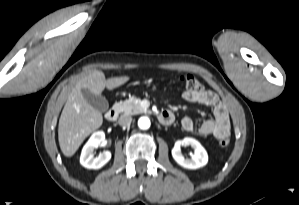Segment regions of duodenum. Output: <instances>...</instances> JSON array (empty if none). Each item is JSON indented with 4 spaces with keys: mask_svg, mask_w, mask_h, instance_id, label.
Masks as SVG:
<instances>
[{
    "mask_svg": "<svg viewBox=\"0 0 299 205\" xmlns=\"http://www.w3.org/2000/svg\"><path fill=\"white\" fill-rule=\"evenodd\" d=\"M118 115H119V110L116 107H112L106 112L105 117L108 121L113 122L118 118ZM173 120H174V116L169 111H163L159 115V121L162 124L165 125L171 124Z\"/></svg>",
    "mask_w": 299,
    "mask_h": 205,
    "instance_id": "410a0bca",
    "label": "duodenum"
}]
</instances>
